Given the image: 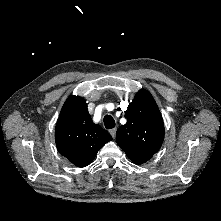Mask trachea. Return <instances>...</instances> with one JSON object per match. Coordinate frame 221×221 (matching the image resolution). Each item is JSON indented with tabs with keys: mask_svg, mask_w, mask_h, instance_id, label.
<instances>
[{
	"mask_svg": "<svg viewBox=\"0 0 221 221\" xmlns=\"http://www.w3.org/2000/svg\"><path fill=\"white\" fill-rule=\"evenodd\" d=\"M104 125L107 129H112L115 127V120L113 119L112 116L106 115L104 117Z\"/></svg>",
	"mask_w": 221,
	"mask_h": 221,
	"instance_id": "trachea-1",
	"label": "trachea"
}]
</instances>
